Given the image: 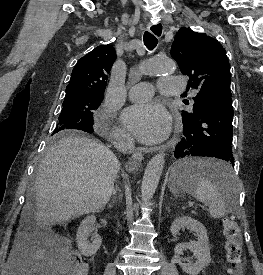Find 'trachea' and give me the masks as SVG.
I'll return each instance as SVG.
<instances>
[{
	"instance_id": "trachea-1",
	"label": "trachea",
	"mask_w": 263,
	"mask_h": 275,
	"mask_svg": "<svg viewBox=\"0 0 263 275\" xmlns=\"http://www.w3.org/2000/svg\"><path fill=\"white\" fill-rule=\"evenodd\" d=\"M143 41H144L145 46L149 50H153L157 46V43H158V39L148 31H146L144 33Z\"/></svg>"
}]
</instances>
